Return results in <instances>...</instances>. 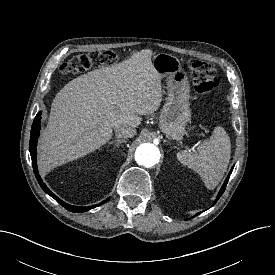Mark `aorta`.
<instances>
[{"label":"aorta","mask_w":275,"mask_h":275,"mask_svg":"<svg viewBox=\"0 0 275 275\" xmlns=\"http://www.w3.org/2000/svg\"><path fill=\"white\" fill-rule=\"evenodd\" d=\"M159 159L160 151L154 144L143 143L135 151V161L139 165L152 167L158 163Z\"/></svg>","instance_id":"aorta-1"}]
</instances>
